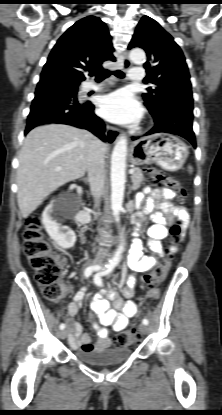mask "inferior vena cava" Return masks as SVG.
Listing matches in <instances>:
<instances>
[{"instance_id":"obj_1","label":"inferior vena cava","mask_w":222,"mask_h":415,"mask_svg":"<svg viewBox=\"0 0 222 415\" xmlns=\"http://www.w3.org/2000/svg\"><path fill=\"white\" fill-rule=\"evenodd\" d=\"M107 148L104 143L100 140H95L91 147L87 172H88V181L90 184L91 194L94 198L99 199L103 193L104 189V180H105V169H104V155ZM102 252H98V256H101Z\"/></svg>"}]
</instances>
